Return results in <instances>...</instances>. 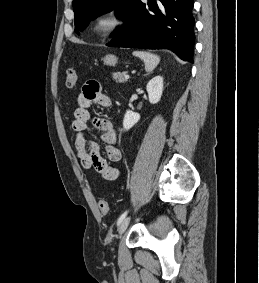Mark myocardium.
Returning <instances> with one entry per match:
<instances>
[{
  "label": "myocardium",
  "mask_w": 259,
  "mask_h": 283,
  "mask_svg": "<svg viewBox=\"0 0 259 283\" xmlns=\"http://www.w3.org/2000/svg\"><path fill=\"white\" fill-rule=\"evenodd\" d=\"M124 17L116 7H111L100 12L92 21L91 29L98 38H108L115 34L123 25ZM102 23H107L105 29H100Z\"/></svg>",
  "instance_id": "myocardium-1"
}]
</instances>
